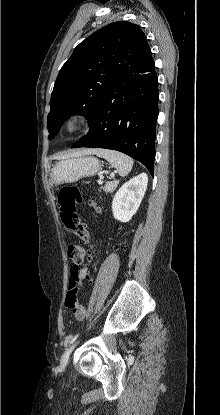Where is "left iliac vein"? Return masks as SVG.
<instances>
[{
	"instance_id": "obj_1",
	"label": "left iliac vein",
	"mask_w": 220,
	"mask_h": 415,
	"mask_svg": "<svg viewBox=\"0 0 220 415\" xmlns=\"http://www.w3.org/2000/svg\"><path fill=\"white\" fill-rule=\"evenodd\" d=\"M76 344H73L71 347H69L65 353L63 354L62 358H61V364L62 365H66L68 363L69 360V356L71 354V352L74 350Z\"/></svg>"
}]
</instances>
